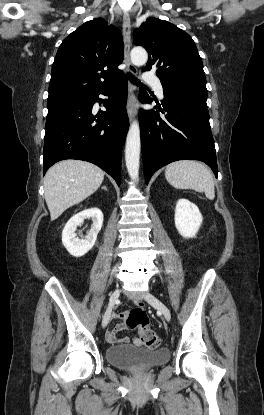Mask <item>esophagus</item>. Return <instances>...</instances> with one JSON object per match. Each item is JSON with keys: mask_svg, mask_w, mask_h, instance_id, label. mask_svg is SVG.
I'll return each mask as SVG.
<instances>
[{"mask_svg": "<svg viewBox=\"0 0 264 415\" xmlns=\"http://www.w3.org/2000/svg\"><path fill=\"white\" fill-rule=\"evenodd\" d=\"M123 40H124V58L127 64L128 72L132 73L133 75L137 74L136 67L132 64L130 60V49H131V21L130 16L128 13H125L123 16ZM134 86L130 87V94L127 102V113L130 119L134 117L136 114L135 109V94H134Z\"/></svg>", "mask_w": 264, "mask_h": 415, "instance_id": "esophagus-1", "label": "esophagus"}]
</instances>
